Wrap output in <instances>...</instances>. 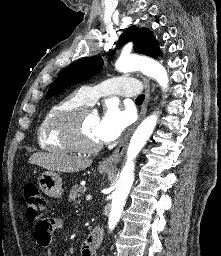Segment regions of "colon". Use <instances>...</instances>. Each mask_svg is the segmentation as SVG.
Masks as SVG:
<instances>
[{
  "instance_id": "1",
  "label": "colon",
  "mask_w": 221,
  "mask_h": 256,
  "mask_svg": "<svg viewBox=\"0 0 221 256\" xmlns=\"http://www.w3.org/2000/svg\"><path fill=\"white\" fill-rule=\"evenodd\" d=\"M27 218L36 228L46 226L44 215L47 210V203L38 187L34 183H28L24 189Z\"/></svg>"
}]
</instances>
